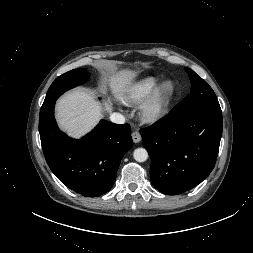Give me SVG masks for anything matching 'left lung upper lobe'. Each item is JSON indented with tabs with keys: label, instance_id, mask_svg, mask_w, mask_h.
<instances>
[{
	"label": "left lung upper lobe",
	"instance_id": "left-lung-upper-lobe-1",
	"mask_svg": "<svg viewBox=\"0 0 253 253\" xmlns=\"http://www.w3.org/2000/svg\"><path fill=\"white\" fill-rule=\"evenodd\" d=\"M191 80V93L171 112L186 113L195 111L221 112L217 97L212 88L193 70L185 68Z\"/></svg>",
	"mask_w": 253,
	"mask_h": 253
}]
</instances>
